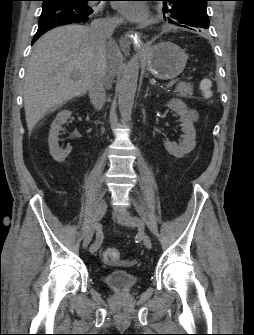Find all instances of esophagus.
Returning a JSON list of instances; mask_svg holds the SVG:
<instances>
[{"instance_id":"esophagus-1","label":"esophagus","mask_w":254,"mask_h":335,"mask_svg":"<svg viewBox=\"0 0 254 335\" xmlns=\"http://www.w3.org/2000/svg\"><path fill=\"white\" fill-rule=\"evenodd\" d=\"M131 43L144 48L145 45L141 41V35L139 32H136L134 30H129L125 33V35L120 39L119 44L120 47L125 50L128 49L131 45Z\"/></svg>"}]
</instances>
